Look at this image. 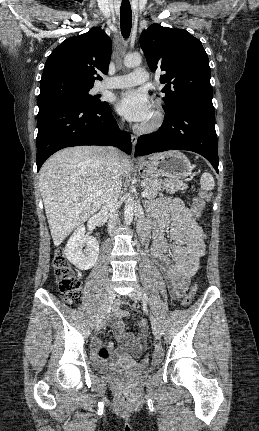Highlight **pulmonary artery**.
I'll return each mask as SVG.
<instances>
[{"label":"pulmonary artery","mask_w":259,"mask_h":431,"mask_svg":"<svg viewBox=\"0 0 259 431\" xmlns=\"http://www.w3.org/2000/svg\"><path fill=\"white\" fill-rule=\"evenodd\" d=\"M147 80H148V73L142 68H137L132 73L106 79L102 84V88L103 89L128 88V87H132V86H136L138 84L144 83Z\"/></svg>","instance_id":"pulmonary-artery-1"}]
</instances>
